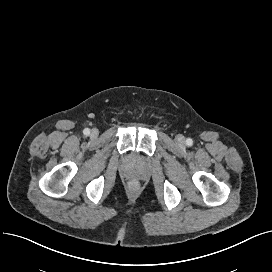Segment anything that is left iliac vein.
Instances as JSON below:
<instances>
[{
  "mask_svg": "<svg viewBox=\"0 0 272 272\" xmlns=\"http://www.w3.org/2000/svg\"><path fill=\"white\" fill-rule=\"evenodd\" d=\"M176 142L179 143V144H184L185 143L184 136L183 135H177Z\"/></svg>",
  "mask_w": 272,
  "mask_h": 272,
  "instance_id": "obj_1",
  "label": "left iliac vein"
}]
</instances>
